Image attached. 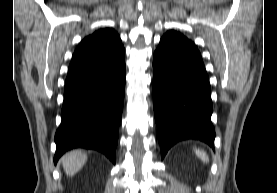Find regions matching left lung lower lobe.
Instances as JSON below:
<instances>
[{
    "instance_id": "1",
    "label": "left lung lower lobe",
    "mask_w": 277,
    "mask_h": 193,
    "mask_svg": "<svg viewBox=\"0 0 277 193\" xmlns=\"http://www.w3.org/2000/svg\"><path fill=\"white\" fill-rule=\"evenodd\" d=\"M153 68V107L162 158L185 139H198L214 148L209 77L194 43L164 35L154 53Z\"/></svg>"
}]
</instances>
